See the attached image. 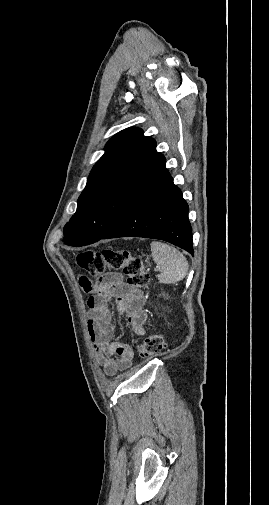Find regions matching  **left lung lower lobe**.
Wrapping results in <instances>:
<instances>
[{"label": "left lung lower lobe", "mask_w": 269, "mask_h": 505, "mask_svg": "<svg viewBox=\"0 0 269 505\" xmlns=\"http://www.w3.org/2000/svg\"><path fill=\"white\" fill-rule=\"evenodd\" d=\"M165 164L155 145L130 200L101 239L129 236L160 239L193 255L188 205Z\"/></svg>", "instance_id": "obj_1"}]
</instances>
